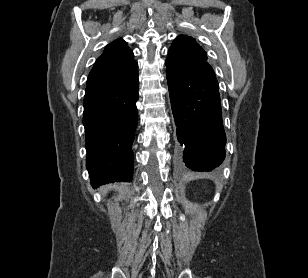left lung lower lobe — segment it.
<instances>
[{"label":"left lung lower lobe","instance_id":"obj_1","mask_svg":"<svg viewBox=\"0 0 308 278\" xmlns=\"http://www.w3.org/2000/svg\"><path fill=\"white\" fill-rule=\"evenodd\" d=\"M166 76L183 161L192 170L211 171L224 160L226 144L215 73L202 63L166 66Z\"/></svg>","mask_w":308,"mask_h":278}]
</instances>
